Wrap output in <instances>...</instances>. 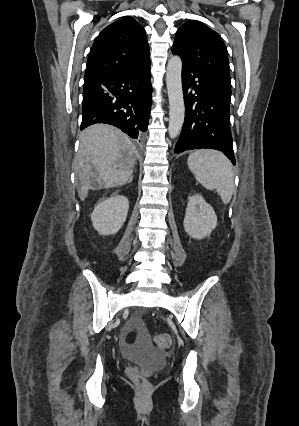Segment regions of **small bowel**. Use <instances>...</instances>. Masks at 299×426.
Returning a JSON list of instances; mask_svg holds the SVG:
<instances>
[{
	"label": "small bowel",
	"instance_id": "c3829d8e",
	"mask_svg": "<svg viewBox=\"0 0 299 426\" xmlns=\"http://www.w3.org/2000/svg\"><path fill=\"white\" fill-rule=\"evenodd\" d=\"M137 321H134L132 325H137ZM125 348L128 353L133 354L135 351L130 343L125 342Z\"/></svg>",
	"mask_w": 299,
	"mask_h": 426
}]
</instances>
